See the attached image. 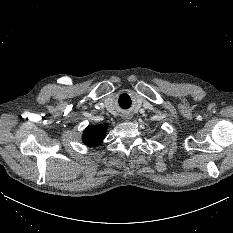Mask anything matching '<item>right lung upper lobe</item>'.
<instances>
[{
    "label": "right lung upper lobe",
    "instance_id": "cb5924a9",
    "mask_svg": "<svg viewBox=\"0 0 233 233\" xmlns=\"http://www.w3.org/2000/svg\"><path fill=\"white\" fill-rule=\"evenodd\" d=\"M107 126L101 125H90L86 128L83 134V142L88 146H98L104 139Z\"/></svg>",
    "mask_w": 233,
    "mask_h": 233
}]
</instances>
